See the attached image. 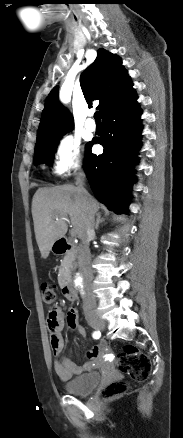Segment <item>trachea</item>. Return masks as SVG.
I'll return each instance as SVG.
<instances>
[{
	"instance_id": "1",
	"label": "trachea",
	"mask_w": 183,
	"mask_h": 438,
	"mask_svg": "<svg viewBox=\"0 0 183 438\" xmlns=\"http://www.w3.org/2000/svg\"><path fill=\"white\" fill-rule=\"evenodd\" d=\"M94 118H95L96 121H100V114H99V111H96V112L94 113Z\"/></svg>"
}]
</instances>
